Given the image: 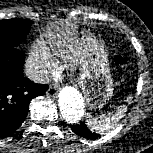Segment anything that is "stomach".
Segmentation results:
<instances>
[{
  "mask_svg": "<svg viewBox=\"0 0 153 153\" xmlns=\"http://www.w3.org/2000/svg\"><path fill=\"white\" fill-rule=\"evenodd\" d=\"M81 50L79 85L90 108L102 107L113 95L107 52L104 45L89 30L76 32Z\"/></svg>",
  "mask_w": 153,
  "mask_h": 153,
  "instance_id": "1",
  "label": "stomach"
}]
</instances>
